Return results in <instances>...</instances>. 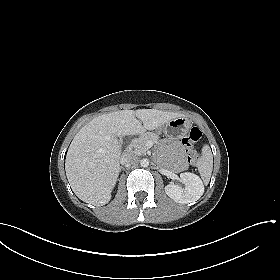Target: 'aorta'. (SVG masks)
Returning <instances> with one entry per match:
<instances>
[{
    "label": "aorta",
    "instance_id": "762f6f07",
    "mask_svg": "<svg viewBox=\"0 0 280 280\" xmlns=\"http://www.w3.org/2000/svg\"><path fill=\"white\" fill-rule=\"evenodd\" d=\"M140 164L142 167H148L149 166V160L146 159V158H143L141 161H140Z\"/></svg>",
    "mask_w": 280,
    "mask_h": 280
}]
</instances>
